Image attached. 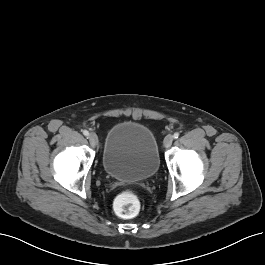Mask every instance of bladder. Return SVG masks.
I'll return each mask as SVG.
<instances>
[{
  "label": "bladder",
  "instance_id": "1",
  "mask_svg": "<svg viewBox=\"0 0 265 265\" xmlns=\"http://www.w3.org/2000/svg\"><path fill=\"white\" fill-rule=\"evenodd\" d=\"M103 169L123 181H146L158 171L160 156L154 132L137 121H121L107 132Z\"/></svg>",
  "mask_w": 265,
  "mask_h": 265
}]
</instances>
